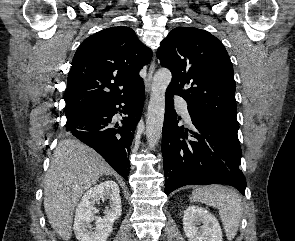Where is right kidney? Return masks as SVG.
Returning a JSON list of instances; mask_svg holds the SVG:
<instances>
[{
    "label": "right kidney",
    "instance_id": "obj_1",
    "mask_svg": "<svg viewBox=\"0 0 295 241\" xmlns=\"http://www.w3.org/2000/svg\"><path fill=\"white\" fill-rule=\"evenodd\" d=\"M109 201L105 217L94 215V205L98 201ZM122 213L119 186L107 180L90 188L76 208L74 232L79 241H106L113 230V224ZM95 221V227L91 222Z\"/></svg>",
    "mask_w": 295,
    "mask_h": 241
}]
</instances>
